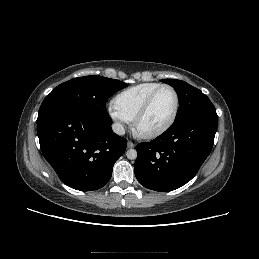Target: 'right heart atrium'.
I'll use <instances>...</instances> for the list:
<instances>
[{
    "mask_svg": "<svg viewBox=\"0 0 259 259\" xmlns=\"http://www.w3.org/2000/svg\"><path fill=\"white\" fill-rule=\"evenodd\" d=\"M108 115L115 123L119 131H123L126 124L129 122L115 107L111 106L108 109Z\"/></svg>",
    "mask_w": 259,
    "mask_h": 259,
    "instance_id": "d8ad5b80",
    "label": "right heart atrium"
}]
</instances>
